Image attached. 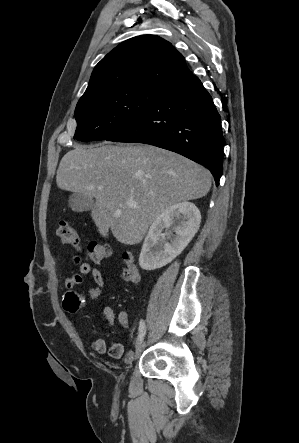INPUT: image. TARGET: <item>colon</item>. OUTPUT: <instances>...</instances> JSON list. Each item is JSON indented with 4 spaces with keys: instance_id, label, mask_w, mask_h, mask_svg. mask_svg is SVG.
<instances>
[{
    "instance_id": "obj_1",
    "label": "colon",
    "mask_w": 299,
    "mask_h": 443,
    "mask_svg": "<svg viewBox=\"0 0 299 443\" xmlns=\"http://www.w3.org/2000/svg\"><path fill=\"white\" fill-rule=\"evenodd\" d=\"M57 235L61 241L78 251H82L81 242L77 231L66 220H60L57 227ZM86 257L93 264L101 263L110 256L111 248L102 242H92L85 250ZM124 265L122 268V278L127 282H136L139 278V269L130 252L123 253ZM120 322H122L119 319Z\"/></svg>"
}]
</instances>
